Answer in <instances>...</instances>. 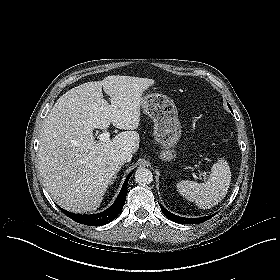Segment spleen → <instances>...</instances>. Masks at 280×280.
Returning <instances> with one entry per match:
<instances>
[{
    "label": "spleen",
    "instance_id": "1",
    "mask_svg": "<svg viewBox=\"0 0 280 280\" xmlns=\"http://www.w3.org/2000/svg\"><path fill=\"white\" fill-rule=\"evenodd\" d=\"M230 182V167L224 158H219L218 162L211 167L210 177L206 182L183 180L176 186L183 197L195 201L203 209H209L226 196Z\"/></svg>",
    "mask_w": 280,
    "mask_h": 280
}]
</instances>
